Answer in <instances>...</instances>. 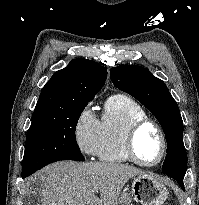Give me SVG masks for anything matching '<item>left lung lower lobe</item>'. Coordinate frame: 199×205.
I'll use <instances>...</instances> for the list:
<instances>
[{
	"label": "left lung lower lobe",
	"mask_w": 199,
	"mask_h": 205,
	"mask_svg": "<svg viewBox=\"0 0 199 205\" xmlns=\"http://www.w3.org/2000/svg\"><path fill=\"white\" fill-rule=\"evenodd\" d=\"M178 184L180 185V187H181L183 190H185V188H184V183H183L182 181H178Z\"/></svg>",
	"instance_id": "1"
}]
</instances>
